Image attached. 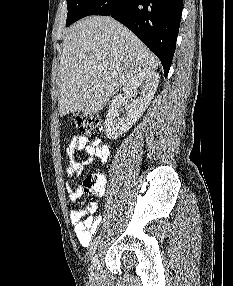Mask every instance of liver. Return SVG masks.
I'll return each mask as SVG.
<instances>
[{
	"label": "liver",
	"instance_id": "obj_1",
	"mask_svg": "<svg viewBox=\"0 0 233 286\" xmlns=\"http://www.w3.org/2000/svg\"><path fill=\"white\" fill-rule=\"evenodd\" d=\"M159 62L129 29L106 16L73 24L63 38L58 110L96 113L132 77Z\"/></svg>",
	"mask_w": 233,
	"mask_h": 286
}]
</instances>
